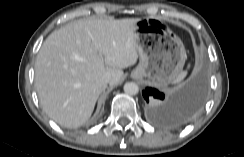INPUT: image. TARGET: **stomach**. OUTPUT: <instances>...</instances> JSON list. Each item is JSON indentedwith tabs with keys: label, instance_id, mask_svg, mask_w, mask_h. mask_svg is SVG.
<instances>
[{
	"label": "stomach",
	"instance_id": "stomach-1",
	"mask_svg": "<svg viewBox=\"0 0 244 157\" xmlns=\"http://www.w3.org/2000/svg\"><path fill=\"white\" fill-rule=\"evenodd\" d=\"M134 38L139 64L132 71L131 77L146 78L149 84L157 87L174 81L187 59L181 39L155 17L139 19Z\"/></svg>",
	"mask_w": 244,
	"mask_h": 157
}]
</instances>
